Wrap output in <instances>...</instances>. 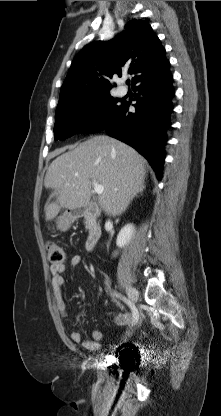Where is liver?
Here are the masks:
<instances>
[{"label":"liver","instance_id":"liver-1","mask_svg":"<svg viewBox=\"0 0 221 416\" xmlns=\"http://www.w3.org/2000/svg\"><path fill=\"white\" fill-rule=\"evenodd\" d=\"M145 159L132 147L114 138L99 135L61 154L50 164L44 185L54 189L55 202L44 208L46 221L60 209H75L91 199L92 183L104 187L99 198L102 210L110 216L121 215L132 199L144 189Z\"/></svg>","mask_w":221,"mask_h":416}]
</instances>
